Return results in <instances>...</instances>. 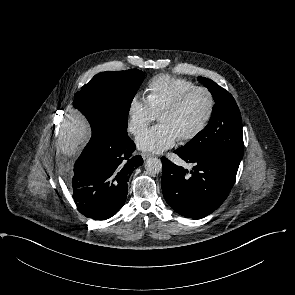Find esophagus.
<instances>
[{"mask_svg": "<svg viewBox=\"0 0 295 295\" xmlns=\"http://www.w3.org/2000/svg\"><path fill=\"white\" fill-rule=\"evenodd\" d=\"M141 156L145 160V159L151 157L152 155L150 153H142Z\"/></svg>", "mask_w": 295, "mask_h": 295, "instance_id": "obj_1", "label": "esophagus"}]
</instances>
